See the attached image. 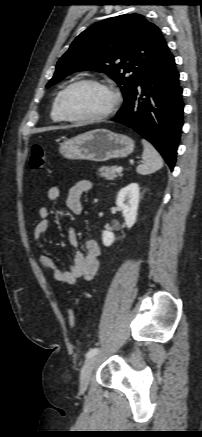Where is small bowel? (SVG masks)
Here are the masks:
<instances>
[{
	"instance_id": "small-bowel-1",
	"label": "small bowel",
	"mask_w": 202,
	"mask_h": 437,
	"mask_svg": "<svg viewBox=\"0 0 202 437\" xmlns=\"http://www.w3.org/2000/svg\"><path fill=\"white\" fill-rule=\"evenodd\" d=\"M91 189L89 180H80L73 185L67 194L66 207L74 214L79 215L82 212V196ZM60 188L52 186L47 191V197L50 201H56L60 197ZM40 221L34 228V243L40 247L43 235L50 229V210L47 207H41L38 211ZM68 240L72 248L78 246L76 230L70 227L68 230ZM101 247L95 240L89 239L85 242V251H75L73 263L67 270L60 269L51 256L42 254L39 256L41 267L50 274L56 281L74 285L79 279L91 280L100 268Z\"/></svg>"
}]
</instances>
